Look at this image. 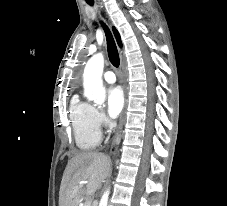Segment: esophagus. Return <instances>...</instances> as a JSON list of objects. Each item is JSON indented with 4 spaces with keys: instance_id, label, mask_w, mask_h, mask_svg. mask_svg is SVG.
Listing matches in <instances>:
<instances>
[{
    "instance_id": "esophagus-1",
    "label": "esophagus",
    "mask_w": 227,
    "mask_h": 206,
    "mask_svg": "<svg viewBox=\"0 0 227 206\" xmlns=\"http://www.w3.org/2000/svg\"><path fill=\"white\" fill-rule=\"evenodd\" d=\"M120 78L123 83V89H124V107H123V111L120 116L118 128L116 130L115 136L112 141V146L118 144L121 140V133H122V128H123L124 119H125L126 107H127V90H126L125 79H124V61H123V59H121V63H120Z\"/></svg>"
}]
</instances>
